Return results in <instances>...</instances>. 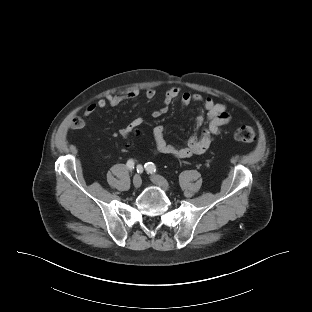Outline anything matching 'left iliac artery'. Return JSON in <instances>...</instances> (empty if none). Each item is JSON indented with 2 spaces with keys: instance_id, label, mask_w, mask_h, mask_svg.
<instances>
[{
  "instance_id": "left-iliac-artery-1",
  "label": "left iliac artery",
  "mask_w": 312,
  "mask_h": 312,
  "mask_svg": "<svg viewBox=\"0 0 312 312\" xmlns=\"http://www.w3.org/2000/svg\"><path fill=\"white\" fill-rule=\"evenodd\" d=\"M145 168L149 173H154L156 172V166L152 162H148L145 164Z\"/></svg>"
}]
</instances>
